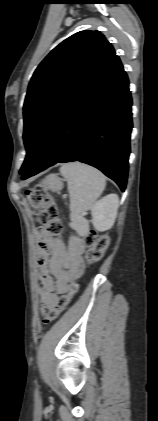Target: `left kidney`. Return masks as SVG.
<instances>
[{"label":"left kidney","mask_w":158,"mask_h":421,"mask_svg":"<svg viewBox=\"0 0 158 421\" xmlns=\"http://www.w3.org/2000/svg\"><path fill=\"white\" fill-rule=\"evenodd\" d=\"M118 207L117 194H109L96 202L91 210L94 228L101 232L111 229L117 216Z\"/></svg>","instance_id":"obj_1"}]
</instances>
